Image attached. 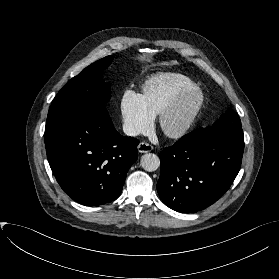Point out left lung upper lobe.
I'll return each instance as SVG.
<instances>
[{"label": "left lung upper lobe", "instance_id": "1", "mask_svg": "<svg viewBox=\"0 0 279 279\" xmlns=\"http://www.w3.org/2000/svg\"><path fill=\"white\" fill-rule=\"evenodd\" d=\"M200 134H223L237 141L244 142L241 121L233 109H229L212 126L193 131Z\"/></svg>", "mask_w": 279, "mask_h": 279}]
</instances>
